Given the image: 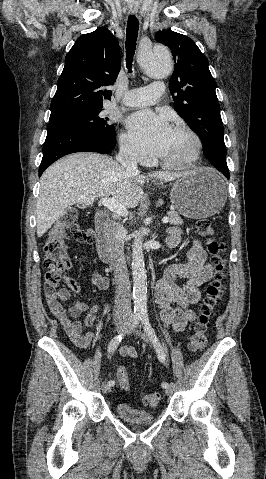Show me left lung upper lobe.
<instances>
[{"label":"left lung upper lobe","mask_w":266,"mask_h":479,"mask_svg":"<svg viewBox=\"0 0 266 479\" xmlns=\"http://www.w3.org/2000/svg\"><path fill=\"white\" fill-rule=\"evenodd\" d=\"M155 39L167 45L173 54L175 66L169 88L175 110L199 135L210 162L218 170L228 169L216 82L206 56L192 39L171 30L157 32Z\"/></svg>","instance_id":"left-lung-upper-lobe-1"}]
</instances>
